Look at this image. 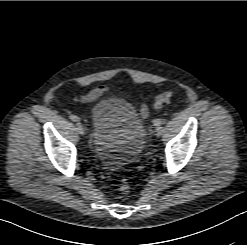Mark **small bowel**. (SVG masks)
<instances>
[{"label":"small bowel","instance_id":"obj_1","mask_svg":"<svg viewBox=\"0 0 247 245\" xmlns=\"http://www.w3.org/2000/svg\"><path fill=\"white\" fill-rule=\"evenodd\" d=\"M107 92H108V87L104 84H100L95 88H93L92 90H90L88 93L78 95L77 97H75L74 100L76 102H82V103L93 102L105 96ZM140 116L142 118L148 117V107L144 103H142L140 106Z\"/></svg>","mask_w":247,"mask_h":245}]
</instances>
